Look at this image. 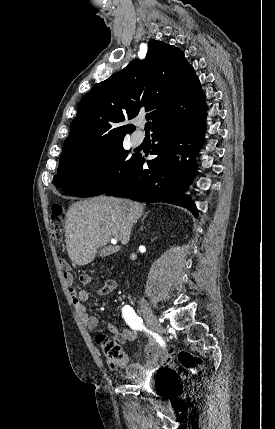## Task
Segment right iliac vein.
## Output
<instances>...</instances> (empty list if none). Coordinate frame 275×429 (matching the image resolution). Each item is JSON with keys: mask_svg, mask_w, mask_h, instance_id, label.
I'll return each instance as SVG.
<instances>
[{"mask_svg": "<svg viewBox=\"0 0 275 429\" xmlns=\"http://www.w3.org/2000/svg\"><path fill=\"white\" fill-rule=\"evenodd\" d=\"M142 312H143V316H144V319H145L147 325L151 329L155 330L158 333H164L165 332L164 328L162 327L160 322L157 320V318L153 314L150 307H148L147 305H142Z\"/></svg>", "mask_w": 275, "mask_h": 429, "instance_id": "right-iliac-vein-1", "label": "right iliac vein"}]
</instances>
